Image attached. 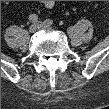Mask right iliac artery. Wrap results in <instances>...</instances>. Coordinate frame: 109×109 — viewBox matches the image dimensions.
<instances>
[{"label": "right iliac artery", "mask_w": 109, "mask_h": 109, "mask_svg": "<svg viewBox=\"0 0 109 109\" xmlns=\"http://www.w3.org/2000/svg\"><path fill=\"white\" fill-rule=\"evenodd\" d=\"M28 19L30 22H37L38 16L36 14H31Z\"/></svg>", "instance_id": "82829eb1"}]
</instances>
